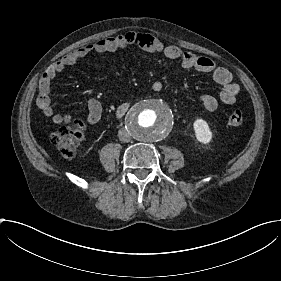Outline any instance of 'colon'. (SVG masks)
Segmentation results:
<instances>
[{
  "label": "colon",
  "instance_id": "5ec220e1",
  "mask_svg": "<svg viewBox=\"0 0 281 281\" xmlns=\"http://www.w3.org/2000/svg\"><path fill=\"white\" fill-rule=\"evenodd\" d=\"M229 121L233 126H241L244 122V113L241 110H232L229 114ZM86 130V123L79 119L73 125L61 127L54 134L52 143L66 158H73Z\"/></svg>",
  "mask_w": 281,
  "mask_h": 281
}]
</instances>
